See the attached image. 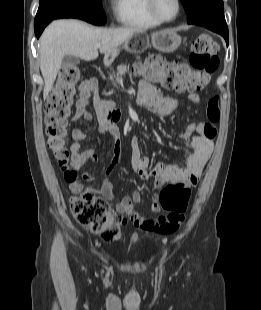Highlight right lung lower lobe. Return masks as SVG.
I'll use <instances>...</instances> for the list:
<instances>
[{
	"label": "right lung lower lobe",
	"mask_w": 261,
	"mask_h": 310,
	"mask_svg": "<svg viewBox=\"0 0 261 310\" xmlns=\"http://www.w3.org/2000/svg\"><path fill=\"white\" fill-rule=\"evenodd\" d=\"M51 21H52V20H51ZM51 21L44 22V23H42L41 25L34 27L35 34H36V37H37V38L40 37V35H41V33L43 32L44 28H45Z\"/></svg>",
	"instance_id": "98d812e1"
}]
</instances>
